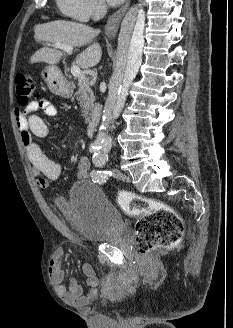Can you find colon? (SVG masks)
Wrapping results in <instances>:
<instances>
[{
  "instance_id": "5ec220e1",
  "label": "colon",
  "mask_w": 233,
  "mask_h": 328,
  "mask_svg": "<svg viewBox=\"0 0 233 328\" xmlns=\"http://www.w3.org/2000/svg\"><path fill=\"white\" fill-rule=\"evenodd\" d=\"M35 84L31 77L17 74L15 92L18 103L26 105L34 94ZM118 204L129 216L138 218L134 235L138 250L146 256L156 249L168 248L180 241L184 224L180 215L171 207L142 196L123 192Z\"/></svg>"
}]
</instances>
